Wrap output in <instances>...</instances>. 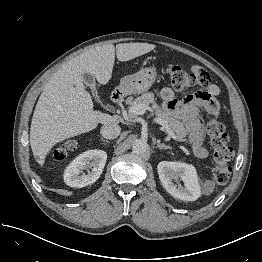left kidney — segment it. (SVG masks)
Returning <instances> with one entry per match:
<instances>
[{"instance_id": "obj_1", "label": "left kidney", "mask_w": 262, "mask_h": 262, "mask_svg": "<svg viewBox=\"0 0 262 262\" xmlns=\"http://www.w3.org/2000/svg\"><path fill=\"white\" fill-rule=\"evenodd\" d=\"M159 179L165 190L174 198L195 201L201 195L196 169L182 162L162 161L157 166ZM184 183V187L179 183Z\"/></svg>"}]
</instances>
